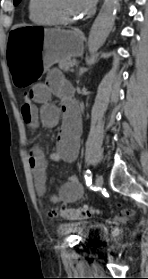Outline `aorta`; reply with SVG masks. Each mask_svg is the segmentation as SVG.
Masks as SVG:
<instances>
[{"instance_id":"762f6f07","label":"aorta","mask_w":148,"mask_h":279,"mask_svg":"<svg viewBox=\"0 0 148 279\" xmlns=\"http://www.w3.org/2000/svg\"><path fill=\"white\" fill-rule=\"evenodd\" d=\"M118 2L119 0H104L89 33L88 51L91 56L98 51L110 34L114 25Z\"/></svg>"}]
</instances>
